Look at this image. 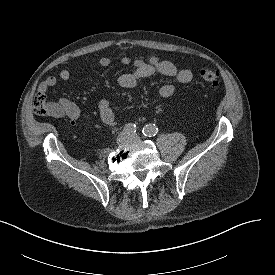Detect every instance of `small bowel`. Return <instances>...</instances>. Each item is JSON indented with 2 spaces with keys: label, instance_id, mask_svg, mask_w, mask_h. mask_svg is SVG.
I'll use <instances>...</instances> for the list:
<instances>
[{
  "label": "small bowel",
  "instance_id": "c3829d8e",
  "mask_svg": "<svg viewBox=\"0 0 275 275\" xmlns=\"http://www.w3.org/2000/svg\"><path fill=\"white\" fill-rule=\"evenodd\" d=\"M121 62L124 65H133V69L130 72L123 73L118 77V84L124 88H133L140 80L156 73L172 78L181 84H188L193 79V74L190 70L179 69L174 63L160 60L156 56H151L147 60L138 58L133 61L128 56H124L122 57ZM110 63L111 59L107 56H103L99 60V64L102 67H108ZM72 74L73 71L71 69H62L59 72L58 77L49 76L45 81H43L40 84L39 89L46 92L49 88L55 86L59 79L67 81L71 78ZM174 91V84L167 82L160 86L158 94L162 98H168L173 95ZM98 110L100 119L104 124L108 126L115 125V115L107 98H100L98 102ZM50 115L56 118L69 119L73 124L81 120L79 107L75 103L64 98L53 104V109L51 110Z\"/></svg>",
  "mask_w": 275,
  "mask_h": 275
}]
</instances>
